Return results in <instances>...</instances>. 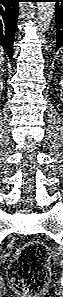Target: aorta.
I'll list each match as a JSON object with an SVG mask.
<instances>
[{
    "label": "aorta",
    "instance_id": "1",
    "mask_svg": "<svg viewBox=\"0 0 63 297\" xmlns=\"http://www.w3.org/2000/svg\"><path fill=\"white\" fill-rule=\"evenodd\" d=\"M38 27L40 32L48 31L55 14L54 2H38Z\"/></svg>",
    "mask_w": 63,
    "mask_h": 297
}]
</instances>
